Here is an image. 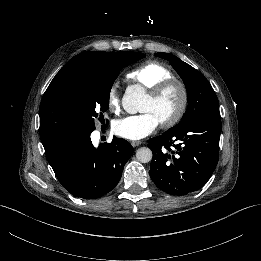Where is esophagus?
<instances>
[{
    "instance_id": "esophagus-1",
    "label": "esophagus",
    "mask_w": 261,
    "mask_h": 261,
    "mask_svg": "<svg viewBox=\"0 0 261 261\" xmlns=\"http://www.w3.org/2000/svg\"><path fill=\"white\" fill-rule=\"evenodd\" d=\"M141 141H132L131 142V145L133 146V147H137V146H139V145H141Z\"/></svg>"
}]
</instances>
